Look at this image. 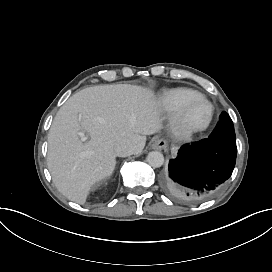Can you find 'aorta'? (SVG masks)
Here are the masks:
<instances>
[{"label":"aorta","mask_w":272,"mask_h":272,"mask_svg":"<svg viewBox=\"0 0 272 272\" xmlns=\"http://www.w3.org/2000/svg\"><path fill=\"white\" fill-rule=\"evenodd\" d=\"M147 162L152 167H156V168L161 167L164 163V156L159 151L149 152V154L147 156Z\"/></svg>","instance_id":"aorta-1"}]
</instances>
